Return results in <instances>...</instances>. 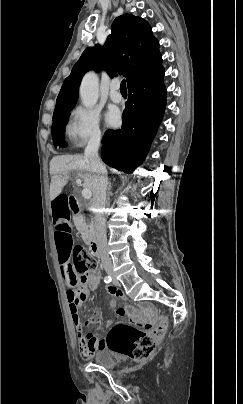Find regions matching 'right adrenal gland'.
<instances>
[{"mask_svg": "<svg viewBox=\"0 0 243 404\" xmlns=\"http://www.w3.org/2000/svg\"><path fill=\"white\" fill-rule=\"evenodd\" d=\"M111 190V182H108V192Z\"/></svg>", "mask_w": 243, "mask_h": 404, "instance_id": "right-adrenal-gland-1", "label": "right adrenal gland"}]
</instances>
